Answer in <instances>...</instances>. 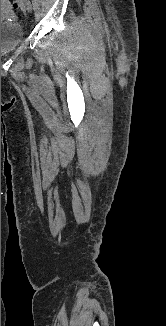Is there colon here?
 I'll return each mask as SVG.
<instances>
[{
  "label": "colon",
  "instance_id": "5ec220e1",
  "mask_svg": "<svg viewBox=\"0 0 166 326\" xmlns=\"http://www.w3.org/2000/svg\"><path fill=\"white\" fill-rule=\"evenodd\" d=\"M13 7L15 9L21 8L22 7V0H14Z\"/></svg>",
  "mask_w": 166,
  "mask_h": 326
}]
</instances>
